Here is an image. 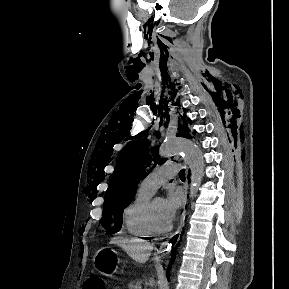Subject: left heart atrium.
<instances>
[{
    "label": "left heart atrium",
    "instance_id": "39dd6f15",
    "mask_svg": "<svg viewBox=\"0 0 289 289\" xmlns=\"http://www.w3.org/2000/svg\"><path fill=\"white\" fill-rule=\"evenodd\" d=\"M184 201L180 189H170L164 199V216L167 221H172Z\"/></svg>",
    "mask_w": 289,
    "mask_h": 289
}]
</instances>
